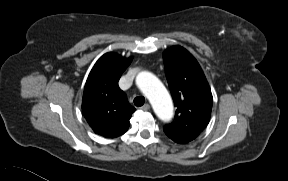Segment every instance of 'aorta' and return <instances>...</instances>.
Instances as JSON below:
<instances>
[{
  "label": "aorta",
  "instance_id": "762f6f07",
  "mask_svg": "<svg viewBox=\"0 0 288 181\" xmlns=\"http://www.w3.org/2000/svg\"><path fill=\"white\" fill-rule=\"evenodd\" d=\"M136 84L152 104L157 116L163 121L170 120L173 115L172 100L160 80L152 73L143 71L137 75Z\"/></svg>",
  "mask_w": 288,
  "mask_h": 181
}]
</instances>
